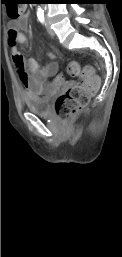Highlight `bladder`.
<instances>
[{
  "label": "bladder",
  "mask_w": 122,
  "mask_h": 257,
  "mask_svg": "<svg viewBox=\"0 0 122 257\" xmlns=\"http://www.w3.org/2000/svg\"><path fill=\"white\" fill-rule=\"evenodd\" d=\"M27 108L36 115L47 116L51 110V98L50 96L44 97H28L25 99Z\"/></svg>",
  "instance_id": "1"
}]
</instances>
